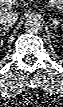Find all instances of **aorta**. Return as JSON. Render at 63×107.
I'll return each mask as SVG.
<instances>
[{
    "label": "aorta",
    "instance_id": "762f6f07",
    "mask_svg": "<svg viewBox=\"0 0 63 107\" xmlns=\"http://www.w3.org/2000/svg\"><path fill=\"white\" fill-rule=\"evenodd\" d=\"M24 28H25L26 32H28V33L37 34V33L41 32V30L43 28V24H42V21L40 18H38L36 16H30L26 19Z\"/></svg>",
    "mask_w": 63,
    "mask_h": 107
}]
</instances>
